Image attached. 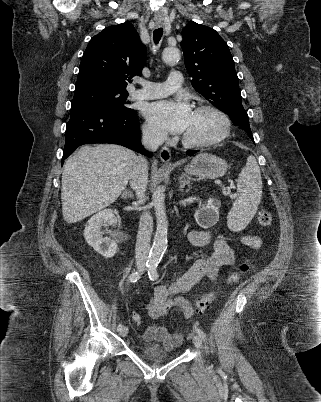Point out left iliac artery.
I'll return each mask as SVG.
<instances>
[{"instance_id": "obj_1", "label": "left iliac artery", "mask_w": 321, "mask_h": 402, "mask_svg": "<svg viewBox=\"0 0 321 402\" xmlns=\"http://www.w3.org/2000/svg\"><path fill=\"white\" fill-rule=\"evenodd\" d=\"M157 265H152L148 270V275L151 280H156L158 278ZM197 334L201 339L205 340L206 334L199 328L195 327Z\"/></svg>"}]
</instances>
